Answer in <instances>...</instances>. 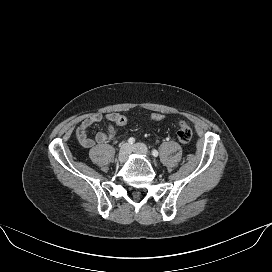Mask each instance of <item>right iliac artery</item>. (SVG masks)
<instances>
[{"label":"right iliac artery","instance_id":"right-iliac-artery-1","mask_svg":"<svg viewBox=\"0 0 272 272\" xmlns=\"http://www.w3.org/2000/svg\"><path fill=\"white\" fill-rule=\"evenodd\" d=\"M134 142H135V139L133 137H131V138L128 139V143L130 145L134 144Z\"/></svg>","mask_w":272,"mask_h":272}]
</instances>
